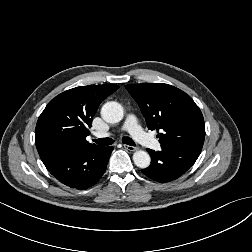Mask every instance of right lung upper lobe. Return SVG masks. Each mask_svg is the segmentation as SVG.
Returning a JSON list of instances; mask_svg holds the SVG:
<instances>
[{
  "instance_id": "cb5924a9",
  "label": "right lung upper lobe",
  "mask_w": 252,
  "mask_h": 252,
  "mask_svg": "<svg viewBox=\"0 0 252 252\" xmlns=\"http://www.w3.org/2000/svg\"><path fill=\"white\" fill-rule=\"evenodd\" d=\"M119 88L115 84L80 86L53 98L41 113L35 143L42 161L76 148H99L86 141L100 103Z\"/></svg>"
}]
</instances>
